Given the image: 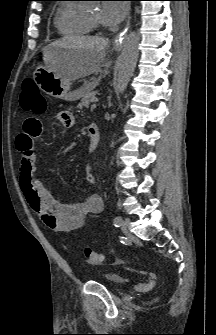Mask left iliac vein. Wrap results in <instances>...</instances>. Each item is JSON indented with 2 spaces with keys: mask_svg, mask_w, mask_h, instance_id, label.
Here are the masks:
<instances>
[{
  "mask_svg": "<svg viewBox=\"0 0 216 335\" xmlns=\"http://www.w3.org/2000/svg\"><path fill=\"white\" fill-rule=\"evenodd\" d=\"M129 225H130V219H129V218H125V219L121 222V229H122L123 231H127Z\"/></svg>",
  "mask_w": 216,
  "mask_h": 335,
  "instance_id": "4c4485c4",
  "label": "left iliac vein"
}]
</instances>
